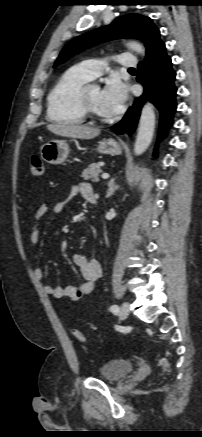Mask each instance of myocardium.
Returning <instances> with one entry per match:
<instances>
[{"label": "myocardium", "mask_w": 202, "mask_h": 437, "mask_svg": "<svg viewBox=\"0 0 202 437\" xmlns=\"http://www.w3.org/2000/svg\"><path fill=\"white\" fill-rule=\"evenodd\" d=\"M87 88L83 87L79 93L78 102L79 107L86 119L97 121V122H105L108 121L109 118L107 116H102L98 114L91 106L88 96H87Z\"/></svg>", "instance_id": "obj_1"}]
</instances>
